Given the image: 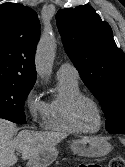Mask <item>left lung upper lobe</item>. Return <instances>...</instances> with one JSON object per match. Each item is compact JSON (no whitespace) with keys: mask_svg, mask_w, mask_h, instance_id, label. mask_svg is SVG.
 I'll return each instance as SVG.
<instances>
[{"mask_svg":"<svg viewBox=\"0 0 125 167\" xmlns=\"http://www.w3.org/2000/svg\"><path fill=\"white\" fill-rule=\"evenodd\" d=\"M56 22L67 55L102 104L106 130L125 134V55L110 25L89 5L60 9Z\"/></svg>","mask_w":125,"mask_h":167,"instance_id":"left-lung-upper-lobe-1","label":"left lung upper lobe"}]
</instances>
